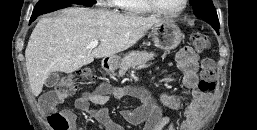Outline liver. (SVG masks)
Returning a JSON list of instances; mask_svg holds the SVG:
<instances>
[{
	"label": "liver",
	"instance_id": "liver-1",
	"mask_svg": "<svg viewBox=\"0 0 257 130\" xmlns=\"http://www.w3.org/2000/svg\"><path fill=\"white\" fill-rule=\"evenodd\" d=\"M156 17L122 15L107 10L68 8L42 18L28 41L25 58L34 96L53 72L72 73L94 61L127 50L155 24ZM99 46L87 49L91 41Z\"/></svg>",
	"mask_w": 257,
	"mask_h": 130
}]
</instances>
